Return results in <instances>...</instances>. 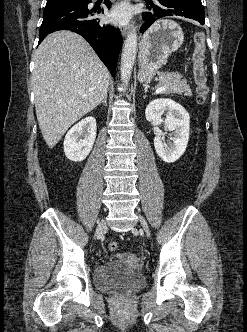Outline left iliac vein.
<instances>
[{
  "label": "left iliac vein",
  "mask_w": 247,
  "mask_h": 332,
  "mask_svg": "<svg viewBox=\"0 0 247 332\" xmlns=\"http://www.w3.org/2000/svg\"><path fill=\"white\" fill-rule=\"evenodd\" d=\"M138 216H139L140 223H141L146 235L149 237L150 236V230H149V227H148V224H147L146 220L140 214H138Z\"/></svg>",
  "instance_id": "4c4485c4"
}]
</instances>
